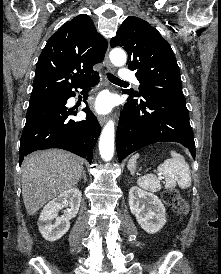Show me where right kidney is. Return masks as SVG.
<instances>
[{
	"mask_svg": "<svg viewBox=\"0 0 221 274\" xmlns=\"http://www.w3.org/2000/svg\"><path fill=\"white\" fill-rule=\"evenodd\" d=\"M81 197L79 189L72 188L45 205L38 221L39 231L45 240L56 241L68 232L70 220L78 214ZM68 206L65 214L59 217L58 212Z\"/></svg>",
	"mask_w": 221,
	"mask_h": 274,
	"instance_id": "1",
	"label": "right kidney"
}]
</instances>
